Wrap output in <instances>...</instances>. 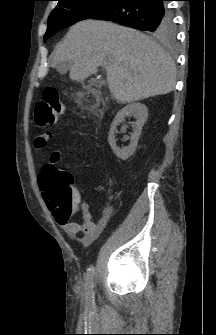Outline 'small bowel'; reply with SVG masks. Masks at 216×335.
<instances>
[{"mask_svg": "<svg viewBox=\"0 0 216 335\" xmlns=\"http://www.w3.org/2000/svg\"><path fill=\"white\" fill-rule=\"evenodd\" d=\"M84 140L82 134H78ZM49 137L40 135L34 140V146L37 150L43 149L48 143ZM60 153H52L46 165L43 166L38 176V186L42 192L43 199L46 201L49 210L52 212L59 227L72 235L81 234L82 244L89 246L93 240L100 234L101 230L106 225V218L101 216L97 221L92 219L88 204L83 200L81 193L76 189H71L74 204L70 215L64 218V208L57 204L50 194L49 183L54 177V171L57 170V164L60 160ZM47 169V171H45ZM80 212L82 216V223H77L70 220L72 213Z\"/></svg>", "mask_w": 216, "mask_h": 335, "instance_id": "small-bowel-1", "label": "small bowel"}]
</instances>
